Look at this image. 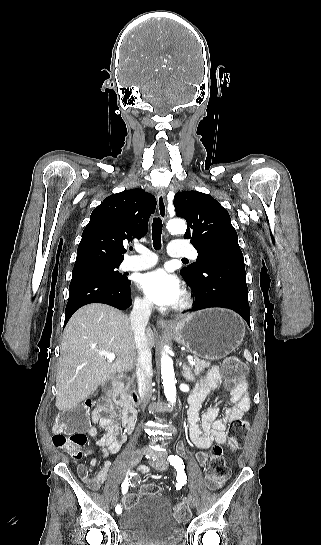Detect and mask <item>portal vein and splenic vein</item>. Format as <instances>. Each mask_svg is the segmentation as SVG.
<instances>
[{
	"mask_svg": "<svg viewBox=\"0 0 321 545\" xmlns=\"http://www.w3.org/2000/svg\"><path fill=\"white\" fill-rule=\"evenodd\" d=\"M98 355H104L109 363H112L115 359L114 353H108V351H99ZM193 355H188V359H192Z\"/></svg>",
	"mask_w": 321,
	"mask_h": 545,
	"instance_id": "obj_1",
	"label": "portal vein and splenic vein"
}]
</instances>
